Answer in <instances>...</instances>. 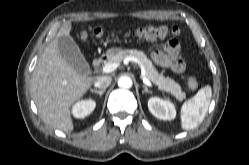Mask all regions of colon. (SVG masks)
Returning a JSON list of instances; mask_svg holds the SVG:
<instances>
[{"instance_id": "obj_1", "label": "colon", "mask_w": 249, "mask_h": 165, "mask_svg": "<svg viewBox=\"0 0 249 165\" xmlns=\"http://www.w3.org/2000/svg\"><path fill=\"white\" fill-rule=\"evenodd\" d=\"M180 32L177 27H168L165 25L160 26H147L143 28H139L137 30L131 31L128 33L130 37H134L140 40H154L157 38H164L169 35H178ZM94 35L96 37H101L103 35L102 31L95 32ZM80 37L85 39L88 37V34L83 32ZM188 86L191 90H195L198 86L197 79L193 76L188 78Z\"/></svg>"}]
</instances>
